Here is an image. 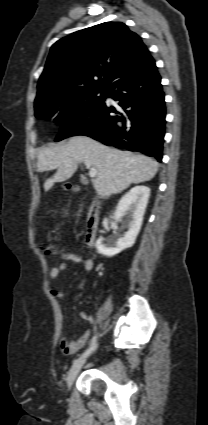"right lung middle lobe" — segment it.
<instances>
[{
    "label": "right lung middle lobe",
    "mask_w": 208,
    "mask_h": 425,
    "mask_svg": "<svg viewBox=\"0 0 208 425\" xmlns=\"http://www.w3.org/2000/svg\"><path fill=\"white\" fill-rule=\"evenodd\" d=\"M105 95L106 88H88L59 96H49L35 102V116L54 118L56 123L62 124L100 105Z\"/></svg>",
    "instance_id": "right-lung-middle-lobe-1"
}]
</instances>
